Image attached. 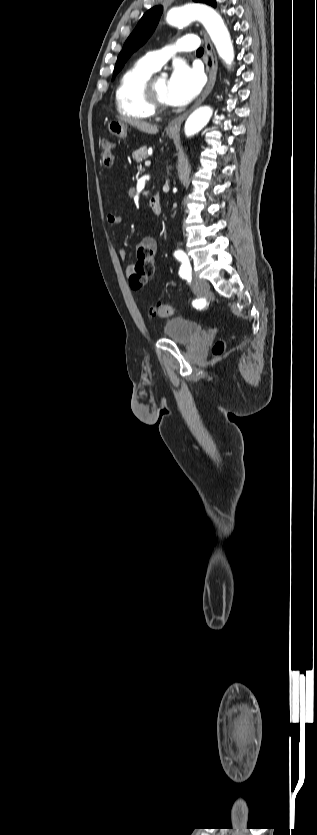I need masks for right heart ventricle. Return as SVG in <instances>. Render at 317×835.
Segmentation results:
<instances>
[{"label": "right heart ventricle", "mask_w": 317, "mask_h": 835, "mask_svg": "<svg viewBox=\"0 0 317 835\" xmlns=\"http://www.w3.org/2000/svg\"><path fill=\"white\" fill-rule=\"evenodd\" d=\"M155 71L143 59L125 70L115 92L116 107L120 114L134 119H147L155 114L144 93L145 84Z\"/></svg>", "instance_id": "1"}]
</instances>
